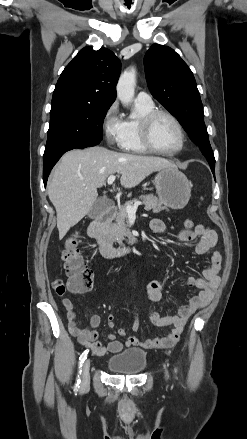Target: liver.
I'll use <instances>...</instances> for the list:
<instances>
[{"label":"liver","mask_w":247,"mask_h":439,"mask_svg":"<svg viewBox=\"0 0 247 439\" xmlns=\"http://www.w3.org/2000/svg\"><path fill=\"white\" fill-rule=\"evenodd\" d=\"M165 167L176 166L164 158L117 153L104 147L65 153L47 185L56 209L59 239L89 213L98 197L97 188L105 184L107 177L119 173L121 185L132 188Z\"/></svg>","instance_id":"obj_1"}]
</instances>
